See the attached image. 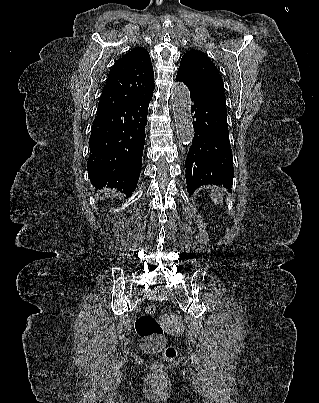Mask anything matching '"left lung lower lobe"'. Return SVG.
<instances>
[{"mask_svg":"<svg viewBox=\"0 0 319 403\" xmlns=\"http://www.w3.org/2000/svg\"><path fill=\"white\" fill-rule=\"evenodd\" d=\"M176 81L186 84L193 103L195 134L185 163L187 191L192 194L198 187L209 184L230 190L234 169L225 94L192 83L179 72Z\"/></svg>","mask_w":319,"mask_h":403,"instance_id":"left-lung-lower-lobe-1","label":"left lung lower lobe"}]
</instances>
